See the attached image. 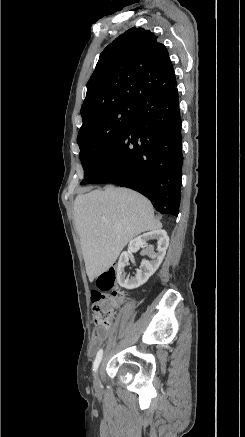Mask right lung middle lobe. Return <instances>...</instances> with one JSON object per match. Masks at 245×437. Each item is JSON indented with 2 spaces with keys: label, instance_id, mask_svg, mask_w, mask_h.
Here are the masks:
<instances>
[{
  "label": "right lung middle lobe",
  "instance_id": "dd1d6c3e",
  "mask_svg": "<svg viewBox=\"0 0 245 437\" xmlns=\"http://www.w3.org/2000/svg\"><path fill=\"white\" fill-rule=\"evenodd\" d=\"M136 105L120 103L104 107L86 120L79 130L77 142L84 179L114 150L128 127Z\"/></svg>",
  "mask_w": 245,
  "mask_h": 437
}]
</instances>
